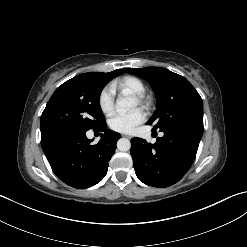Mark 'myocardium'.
Returning <instances> with one entry per match:
<instances>
[{"label":"myocardium","instance_id":"myocardium-1","mask_svg":"<svg viewBox=\"0 0 247 247\" xmlns=\"http://www.w3.org/2000/svg\"><path fill=\"white\" fill-rule=\"evenodd\" d=\"M136 101L140 105H147V99L144 95H137L136 96Z\"/></svg>","mask_w":247,"mask_h":247}]
</instances>
